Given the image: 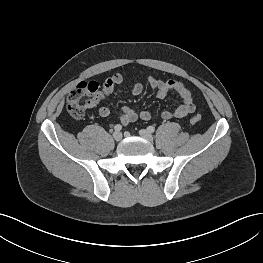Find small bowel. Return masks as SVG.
Masks as SVG:
<instances>
[{"instance_id":"small-bowel-1","label":"small bowel","mask_w":263,"mask_h":263,"mask_svg":"<svg viewBox=\"0 0 263 263\" xmlns=\"http://www.w3.org/2000/svg\"><path fill=\"white\" fill-rule=\"evenodd\" d=\"M147 82L152 90L156 92V96L159 99L165 98L168 93L176 92L182 98V103L174 111H164L161 115L163 120H171L173 118H185L189 114L195 111V104L192 98L191 91L186 87L184 83L178 80L162 81L154 77L149 76ZM123 83V77L120 74H113L107 77L102 87L98 90L97 94L92 100V106L98 105L103 99L111 95L117 86ZM131 91L134 95H140L143 92V85L141 83H135L131 87ZM98 113L101 117H109L111 110L102 106L98 109ZM152 118V114L149 111L141 110L135 111L131 107H124L121 113L118 115V120L123 125H127L141 119L143 121H149Z\"/></svg>"}]
</instances>
